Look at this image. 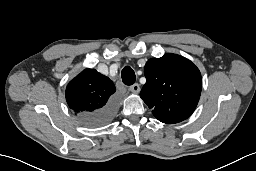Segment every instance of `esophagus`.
Instances as JSON below:
<instances>
[{"instance_id": "esophagus-1", "label": "esophagus", "mask_w": 256, "mask_h": 171, "mask_svg": "<svg viewBox=\"0 0 256 171\" xmlns=\"http://www.w3.org/2000/svg\"><path fill=\"white\" fill-rule=\"evenodd\" d=\"M129 90H130L132 93L137 94V93H139V91H140V86H139V84H137V83H136V84H133V85L130 86Z\"/></svg>"}]
</instances>
